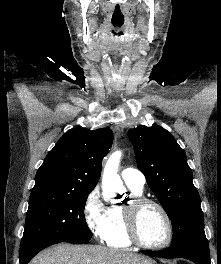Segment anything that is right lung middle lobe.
<instances>
[{"label":"right lung middle lobe","mask_w":221,"mask_h":264,"mask_svg":"<svg viewBox=\"0 0 221 264\" xmlns=\"http://www.w3.org/2000/svg\"><path fill=\"white\" fill-rule=\"evenodd\" d=\"M90 192H31L20 252L45 242L90 240L92 232L84 219Z\"/></svg>","instance_id":"1"}]
</instances>
